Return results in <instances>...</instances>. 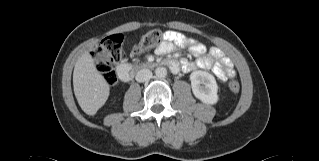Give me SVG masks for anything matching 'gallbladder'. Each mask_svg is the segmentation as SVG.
<instances>
[{
    "instance_id": "obj_1",
    "label": "gallbladder",
    "mask_w": 319,
    "mask_h": 161,
    "mask_svg": "<svg viewBox=\"0 0 319 161\" xmlns=\"http://www.w3.org/2000/svg\"><path fill=\"white\" fill-rule=\"evenodd\" d=\"M107 58V54L106 53H98L96 55V60L97 61H104Z\"/></svg>"
}]
</instances>
